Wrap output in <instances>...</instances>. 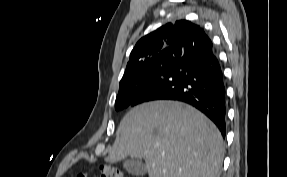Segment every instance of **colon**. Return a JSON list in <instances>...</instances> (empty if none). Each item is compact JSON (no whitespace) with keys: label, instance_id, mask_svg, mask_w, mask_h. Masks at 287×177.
I'll use <instances>...</instances> for the list:
<instances>
[{"label":"colon","instance_id":"5ec220e1","mask_svg":"<svg viewBox=\"0 0 287 177\" xmlns=\"http://www.w3.org/2000/svg\"><path fill=\"white\" fill-rule=\"evenodd\" d=\"M100 177H126L124 172L116 167L102 165L99 167ZM75 177H87L86 172H79Z\"/></svg>","mask_w":287,"mask_h":177}]
</instances>
